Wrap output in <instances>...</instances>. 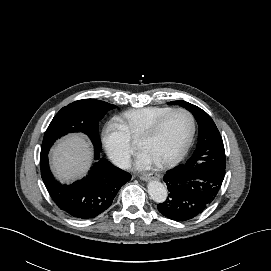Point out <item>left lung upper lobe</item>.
Returning a JSON list of instances; mask_svg holds the SVG:
<instances>
[{"label": "left lung upper lobe", "mask_w": 271, "mask_h": 271, "mask_svg": "<svg viewBox=\"0 0 271 271\" xmlns=\"http://www.w3.org/2000/svg\"><path fill=\"white\" fill-rule=\"evenodd\" d=\"M170 104L185 107L194 115L199 125L197 148L186 164L225 174L224 145L212 118L201 108L186 101H172Z\"/></svg>", "instance_id": "5c2ea615"}]
</instances>
